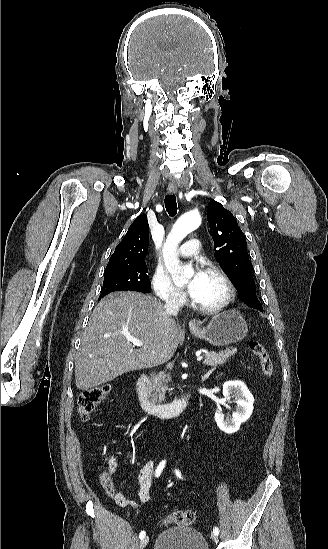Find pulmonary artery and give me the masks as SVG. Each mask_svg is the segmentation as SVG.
<instances>
[{"label": "pulmonary artery", "mask_w": 328, "mask_h": 549, "mask_svg": "<svg viewBox=\"0 0 328 549\" xmlns=\"http://www.w3.org/2000/svg\"><path fill=\"white\" fill-rule=\"evenodd\" d=\"M203 249V244L201 241H198L197 238L192 237L186 243L185 246L178 248V254L181 257H194L196 252H201Z\"/></svg>", "instance_id": "obj_1"}]
</instances>
